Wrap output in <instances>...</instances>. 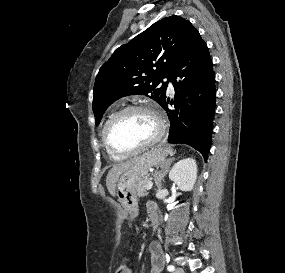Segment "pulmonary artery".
I'll list each match as a JSON object with an SVG mask.
<instances>
[{"label": "pulmonary artery", "mask_w": 285, "mask_h": 273, "mask_svg": "<svg viewBox=\"0 0 285 273\" xmlns=\"http://www.w3.org/2000/svg\"><path fill=\"white\" fill-rule=\"evenodd\" d=\"M168 90H169L170 93L174 92V87H173L172 83L168 84Z\"/></svg>", "instance_id": "e3ab8cb5"}]
</instances>
